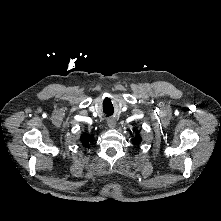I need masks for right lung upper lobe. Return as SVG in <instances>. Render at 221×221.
<instances>
[{
    "mask_svg": "<svg viewBox=\"0 0 221 221\" xmlns=\"http://www.w3.org/2000/svg\"><path fill=\"white\" fill-rule=\"evenodd\" d=\"M81 141L83 143L84 146H88L89 145V142L91 141V135H88V134H83L81 136Z\"/></svg>",
    "mask_w": 221,
    "mask_h": 221,
    "instance_id": "right-lung-upper-lobe-1",
    "label": "right lung upper lobe"
}]
</instances>
